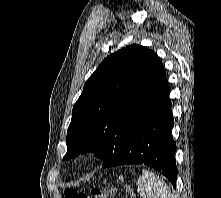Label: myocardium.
Instances as JSON below:
<instances>
[{
  "label": "myocardium",
  "mask_w": 221,
  "mask_h": 198,
  "mask_svg": "<svg viewBox=\"0 0 221 198\" xmlns=\"http://www.w3.org/2000/svg\"><path fill=\"white\" fill-rule=\"evenodd\" d=\"M82 159L84 162L90 163L97 159V154L94 150H86L82 153Z\"/></svg>",
  "instance_id": "obj_1"
}]
</instances>
